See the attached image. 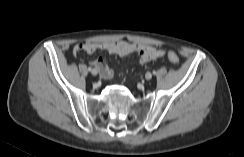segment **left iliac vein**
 <instances>
[{
  "mask_svg": "<svg viewBox=\"0 0 244 157\" xmlns=\"http://www.w3.org/2000/svg\"><path fill=\"white\" fill-rule=\"evenodd\" d=\"M145 78H146V80H150L152 78V74L150 72H147L145 74Z\"/></svg>",
  "mask_w": 244,
  "mask_h": 157,
  "instance_id": "1",
  "label": "left iliac vein"
}]
</instances>
